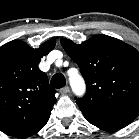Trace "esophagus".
<instances>
[{"instance_id": "1", "label": "esophagus", "mask_w": 139, "mask_h": 139, "mask_svg": "<svg viewBox=\"0 0 139 139\" xmlns=\"http://www.w3.org/2000/svg\"><path fill=\"white\" fill-rule=\"evenodd\" d=\"M70 92V88L68 86H65L60 89L61 94H68Z\"/></svg>"}]
</instances>
